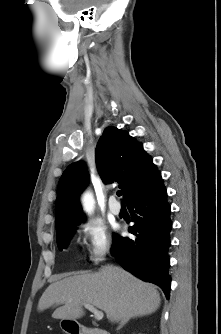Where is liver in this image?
<instances>
[{"label": "liver", "mask_w": 221, "mask_h": 334, "mask_svg": "<svg viewBox=\"0 0 221 334\" xmlns=\"http://www.w3.org/2000/svg\"><path fill=\"white\" fill-rule=\"evenodd\" d=\"M160 302L155 286L118 266L106 265L97 272L69 276L49 285L38 311L62 304L52 317L75 320L85 314L82 306L90 304L103 310L109 321L122 322L155 312Z\"/></svg>", "instance_id": "1"}]
</instances>
